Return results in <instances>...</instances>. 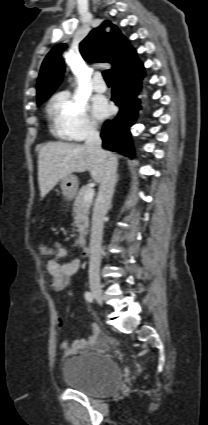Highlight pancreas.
Here are the masks:
<instances>
[{
	"label": "pancreas",
	"mask_w": 208,
	"mask_h": 425,
	"mask_svg": "<svg viewBox=\"0 0 208 425\" xmlns=\"http://www.w3.org/2000/svg\"><path fill=\"white\" fill-rule=\"evenodd\" d=\"M88 189H90L89 186H83L80 189L77 197L75 198L73 207V225L77 228V232L79 233L75 244L79 247H84L85 245V237L88 234L89 227V213L93 202L92 200H84V195Z\"/></svg>",
	"instance_id": "obj_1"
}]
</instances>
